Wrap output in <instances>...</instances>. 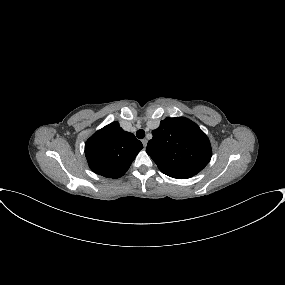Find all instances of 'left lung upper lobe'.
<instances>
[{"label":"left lung upper lobe","mask_w":285,"mask_h":285,"mask_svg":"<svg viewBox=\"0 0 285 285\" xmlns=\"http://www.w3.org/2000/svg\"><path fill=\"white\" fill-rule=\"evenodd\" d=\"M146 152L159 170L177 179L200 172L210 161L211 145L197 124L184 117H167L152 131Z\"/></svg>","instance_id":"obj_1"}]
</instances>
